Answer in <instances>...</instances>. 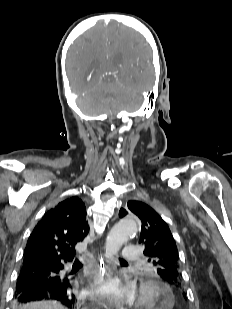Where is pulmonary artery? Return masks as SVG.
Returning <instances> with one entry per match:
<instances>
[{
	"mask_svg": "<svg viewBox=\"0 0 232 309\" xmlns=\"http://www.w3.org/2000/svg\"><path fill=\"white\" fill-rule=\"evenodd\" d=\"M122 256L126 261L135 262L138 260V250L136 246H128L122 251Z\"/></svg>",
	"mask_w": 232,
	"mask_h": 309,
	"instance_id": "1",
	"label": "pulmonary artery"
}]
</instances>
